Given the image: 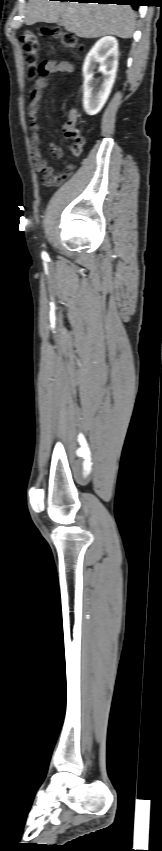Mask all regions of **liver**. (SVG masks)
Returning a JSON list of instances; mask_svg holds the SVG:
<instances>
[{"mask_svg": "<svg viewBox=\"0 0 162 851\" xmlns=\"http://www.w3.org/2000/svg\"><path fill=\"white\" fill-rule=\"evenodd\" d=\"M62 18L68 32L82 38L106 35L128 39L134 32L135 15L129 5L29 0L25 24L55 23Z\"/></svg>", "mask_w": 162, "mask_h": 851, "instance_id": "obj_1", "label": "liver"}]
</instances>
